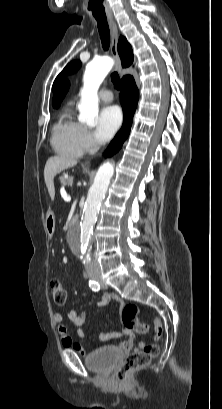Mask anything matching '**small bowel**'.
<instances>
[{"label":"small bowel","instance_id":"obj_1","mask_svg":"<svg viewBox=\"0 0 222 409\" xmlns=\"http://www.w3.org/2000/svg\"><path fill=\"white\" fill-rule=\"evenodd\" d=\"M110 301L115 302L118 307L122 310L125 307L124 300L117 294H102L99 301L97 302L98 307L106 306ZM68 319L74 324L77 329V334L79 337L84 338L85 333L83 330V325L85 323V314L78 313L75 310H70L68 312ZM54 321L57 324L58 332L63 338V342L66 346L73 348L77 353L80 355H87L89 351H87L81 344L74 342L68 336L67 327L63 324V317L61 314L56 313L54 315ZM68 337L69 340L64 341V339ZM100 338L102 341H112L116 339H123L121 343L118 344V348L128 352L134 348V334L133 332L127 328L126 326L121 328L119 331L112 332V333H105L102 332L100 334ZM144 345L143 341L138 342L136 349L141 348Z\"/></svg>","mask_w":222,"mask_h":409}]
</instances>
